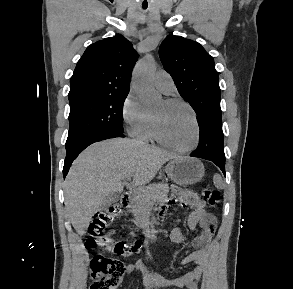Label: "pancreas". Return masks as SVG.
Listing matches in <instances>:
<instances>
[{"label":"pancreas","mask_w":293,"mask_h":289,"mask_svg":"<svg viewBox=\"0 0 293 289\" xmlns=\"http://www.w3.org/2000/svg\"><path fill=\"white\" fill-rule=\"evenodd\" d=\"M168 184H153L145 188V191L134 192L131 199L130 212L134 215V223L144 227L147 222V212L156 201L167 198Z\"/></svg>","instance_id":"1"}]
</instances>
